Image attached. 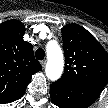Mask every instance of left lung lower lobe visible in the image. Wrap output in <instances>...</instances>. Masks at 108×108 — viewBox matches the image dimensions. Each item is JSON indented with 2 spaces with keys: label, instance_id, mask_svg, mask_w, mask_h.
Listing matches in <instances>:
<instances>
[{
  "label": "left lung lower lobe",
  "instance_id": "obj_1",
  "mask_svg": "<svg viewBox=\"0 0 108 108\" xmlns=\"http://www.w3.org/2000/svg\"><path fill=\"white\" fill-rule=\"evenodd\" d=\"M102 87L66 80L51 84V100L59 108H87L94 103Z\"/></svg>",
  "mask_w": 108,
  "mask_h": 108
}]
</instances>
